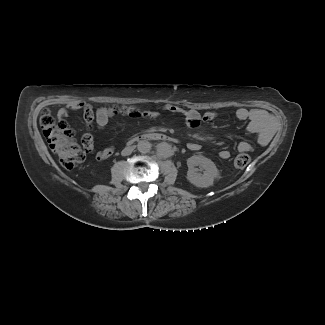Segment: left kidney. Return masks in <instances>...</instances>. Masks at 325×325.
Returning a JSON list of instances; mask_svg holds the SVG:
<instances>
[{
	"label": "left kidney",
	"mask_w": 325,
	"mask_h": 325,
	"mask_svg": "<svg viewBox=\"0 0 325 325\" xmlns=\"http://www.w3.org/2000/svg\"><path fill=\"white\" fill-rule=\"evenodd\" d=\"M187 180L196 187L207 188L213 185L215 179H219L220 172L214 162L202 155H194L187 159ZM200 170H203L201 174Z\"/></svg>",
	"instance_id": "left-kidney-1"
}]
</instances>
